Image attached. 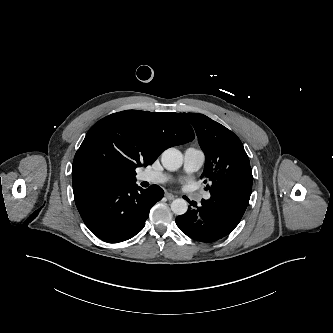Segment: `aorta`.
<instances>
[{"label": "aorta", "mask_w": 333, "mask_h": 333, "mask_svg": "<svg viewBox=\"0 0 333 333\" xmlns=\"http://www.w3.org/2000/svg\"><path fill=\"white\" fill-rule=\"evenodd\" d=\"M161 163L165 169L169 171H175L182 166V153L178 149L168 148L161 155ZM187 209L188 204L182 198L175 199L171 203V210L176 215L185 214Z\"/></svg>", "instance_id": "1"}]
</instances>
